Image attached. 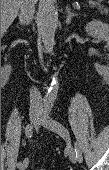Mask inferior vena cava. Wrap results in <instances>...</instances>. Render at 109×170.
<instances>
[{"label": "inferior vena cava", "instance_id": "obj_1", "mask_svg": "<svg viewBox=\"0 0 109 170\" xmlns=\"http://www.w3.org/2000/svg\"><path fill=\"white\" fill-rule=\"evenodd\" d=\"M34 0H21L20 1V15L19 20L23 25L29 24L34 17ZM30 107L35 109H42V97L36 87H33L30 91Z\"/></svg>", "mask_w": 109, "mask_h": 170}]
</instances>
